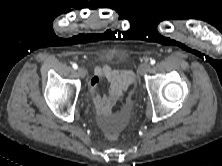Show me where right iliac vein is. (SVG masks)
Returning <instances> with one entry per match:
<instances>
[{"instance_id":"obj_1","label":"right iliac vein","mask_w":222,"mask_h":166,"mask_svg":"<svg viewBox=\"0 0 222 166\" xmlns=\"http://www.w3.org/2000/svg\"><path fill=\"white\" fill-rule=\"evenodd\" d=\"M77 74H78L80 77H85L86 71H85V69H84L83 67H79V68L77 69Z\"/></svg>"}]
</instances>
